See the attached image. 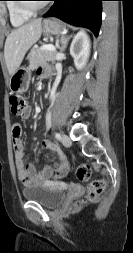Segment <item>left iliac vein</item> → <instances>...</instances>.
Masks as SVG:
<instances>
[{
	"label": "left iliac vein",
	"mask_w": 133,
	"mask_h": 253,
	"mask_svg": "<svg viewBox=\"0 0 133 253\" xmlns=\"http://www.w3.org/2000/svg\"><path fill=\"white\" fill-rule=\"evenodd\" d=\"M61 142L66 147L71 146V143H72L70 137L68 135H66V134H62V136H61Z\"/></svg>",
	"instance_id": "left-iliac-vein-1"
}]
</instances>
